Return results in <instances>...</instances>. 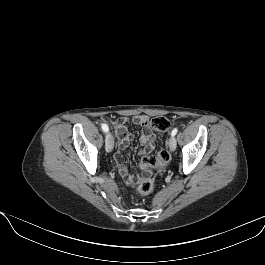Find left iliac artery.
<instances>
[{
    "label": "left iliac artery",
    "instance_id": "left-iliac-artery-1",
    "mask_svg": "<svg viewBox=\"0 0 265 265\" xmlns=\"http://www.w3.org/2000/svg\"><path fill=\"white\" fill-rule=\"evenodd\" d=\"M177 132H178V129H177V128H174V129L172 130V132H171V135H172V136H175V135L177 134Z\"/></svg>",
    "mask_w": 265,
    "mask_h": 265
}]
</instances>
